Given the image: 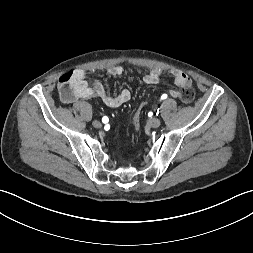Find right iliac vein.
I'll use <instances>...</instances> for the list:
<instances>
[{
	"label": "right iliac vein",
	"instance_id": "1",
	"mask_svg": "<svg viewBox=\"0 0 253 253\" xmlns=\"http://www.w3.org/2000/svg\"><path fill=\"white\" fill-rule=\"evenodd\" d=\"M92 125L95 127V128H100L102 125H101V123L99 122V121H97V120H94L93 122H92Z\"/></svg>",
	"mask_w": 253,
	"mask_h": 253
}]
</instances>
